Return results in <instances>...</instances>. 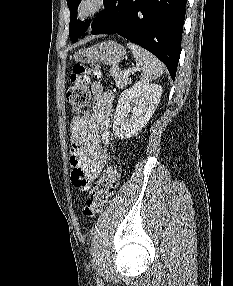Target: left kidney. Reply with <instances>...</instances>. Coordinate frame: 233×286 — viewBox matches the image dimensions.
<instances>
[{"mask_svg":"<svg viewBox=\"0 0 233 286\" xmlns=\"http://www.w3.org/2000/svg\"><path fill=\"white\" fill-rule=\"evenodd\" d=\"M161 95L160 85L141 82L122 92L114 114V135L120 139L137 135L152 117Z\"/></svg>","mask_w":233,"mask_h":286,"instance_id":"obj_1","label":"left kidney"}]
</instances>
